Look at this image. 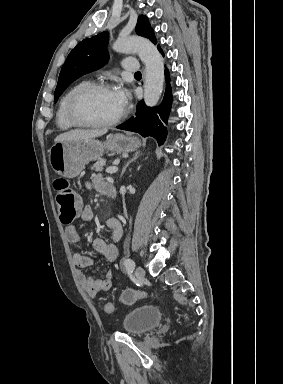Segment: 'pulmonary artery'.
Instances as JSON below:
<instances>
[{"mask_svg": "<svg viewBox=\"0 0 283 384\" xmlns=\"http://www.w3.org/2000/svg\"><path fill=\"white\" fill-rule=\"evenodd\" d=\"M138 66L136 61H124L123 70L124 71H137Z\"/></svg>", "mask_w": 283, "mask_h": 384, "instance_id": "1", "label": "pulmonary artery"}]
</instances>
